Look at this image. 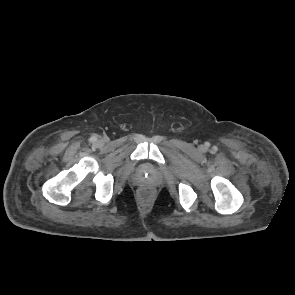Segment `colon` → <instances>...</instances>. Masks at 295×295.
Returning a JSON list of instances; mask_svg holds the SVG:
<instances>
[{
	"mask_svg": "<svg viewBox=\"0 0 295 295\" xmlns=\"http://www.w3.org/2000/svg\"><path fill=\"white\" fill-rule=\"evenodd\" d=\"M153 195V189L149 186H144L139 190V196L142 200H149Z\"/></svg>",
	"mask_w": 295,
	"mask_h": 295,
	"instance_id": "1",
	"label": "colon"
}]
</instances>
